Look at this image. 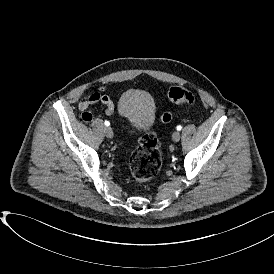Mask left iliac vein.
<instances>
[{"label": "left iliac vein", "instance_id": "1", "mask_svg": "<svg viewBox=\"0 0 274 274\" xmlns=\"http://www.w3.org/2000/svg\"><path fill=\"white\" fill-rule=\"evenodd\" d=\"M172 139L174 142H178L180 140V133L178 131L173 132Z\"/></svg>", "mask_w": 274, "mask_h": 274}]
</instances>
